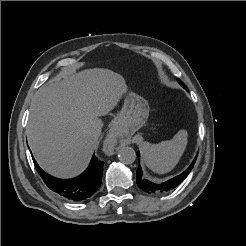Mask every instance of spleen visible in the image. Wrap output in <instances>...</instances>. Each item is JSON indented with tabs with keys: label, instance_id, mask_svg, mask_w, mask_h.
Wrapping results in <instances>:
<instances>
[{
	"label": "spleen",
	"instance_id": "spleen-1",
	"mask_svg": "<svg viewBox=\"0 0 246 246\" xmlns=\"http://www.w3.org/2000/svg\"><path fill=\"white\" fill-rule=\"evenodd\" d=\"M187 142L188 133L186 130H180L171 140L158 144L142 142L140 148L146 166L158 174L170 172L178 164Z\"/></svg>",
	"mask_w": 246,
	"mask_h": 246
}]
</instances>
